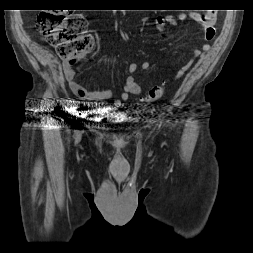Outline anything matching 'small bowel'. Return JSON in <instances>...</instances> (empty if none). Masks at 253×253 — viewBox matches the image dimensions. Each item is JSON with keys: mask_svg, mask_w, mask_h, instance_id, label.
I'll return each instance as SVG.
<instances>
[{"mask_svg": "<svg viewBox=\"0 0 253 253\" xmlns=\"http://www.w3.org/2000/svg\"><path fill=\"white\" fill-rule=\"evenodd\" d=\"M194 21H196L200 27L204 31L205 40L207 42L212 41L215 37V19L216 16L211 11L205 12V13H192L191 14ZM186 21L187 15L184 13H181L178 15L177 19L172 16L167 17H159L155 21V25L158 29V31L161 34L165 33L167 24L176 26L177 21ZM204 51H208L210 49V45L208 43L204 44L202 46ZM200 50L194 51V58L189 61L186 65L181 67L175 76V80L179 79L184 75V73L191 67V65L194 62L195 58H198L201 56ZM150 64L148 62H134L131 63L128 67V73L129 75L126 77L123 89L120 93V98L117 99L114 102L115 107H120L123 102L128 100L130 95H140L142 94L143 90L138 83L136 77L134 76V73L141 69V70H147L149 69ZM63 72L66 80L68 81L71 90L73 93L83 100L88 101H106L111 98L112 92L110 90H88L85 87H83L78 81L76 80V74L72 66L68 62H64L63 64Z\"/></svg>", "mask_w": 253, "mask_h": 253, "instance_id": "obj_1", "label": "small bowel"}]
</instances>
